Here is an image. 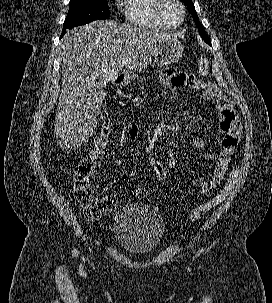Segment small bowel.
<instances>
[{
  "mask_svg": "<svg viewBox=\"0 0 272 303\" xmlns=\"http://www.w3.org/2000/svg\"><path fill=\"white\" fill-rule=\"evenodd\" d=\"M161 82L170 87H179L187 85L188 87L201 92V97L205 100L213 99L216 101V110L220 118V151L216 157L209 153L203 155L207 161L215 160V166L212 175L208 181L202 178H196L194 184L198 191L207 194L210 190L216 188L223 180L231 156L233 155L240 136L241 124L238 116L233 108L231 100L222 93L220 88L214 83H207L192 75L182 72H176L171 69L164 70L161 73ZM128 137L133 139L135 131H132ZM194 149L202 151L205 149L206 143L202 139H195L192 142Z\"/></svg>",
  "mask_w": 272,
  "mask_h": 303,
  "instance_id": "c3829d8e",
  "label": "small bowel"
}]
</instances>
